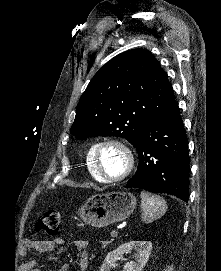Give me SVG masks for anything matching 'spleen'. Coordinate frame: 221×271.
Segmentation results:
<instances>
[{"mask_svg": "<svg viewBox=\"0 0 221 271\" xmlns=\"http://www.w3.org/2000/svg\"><path fill=\"white\" fill-rule=\"evenodd\" d=\"M141 207V221H145V223L159 219L167 211L165 199L155 193H149V191H141Z\"/></svg>", "mask_w": 221, "mask_h": 271, "instance_id": "spleen-1", "label": "spleen"}]
</instances>
